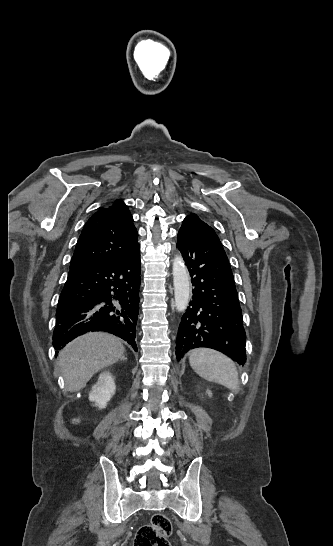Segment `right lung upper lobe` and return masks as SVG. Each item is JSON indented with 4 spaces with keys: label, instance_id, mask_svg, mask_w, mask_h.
I'll list each match as a JSON object with an SVG mask.
<instances>
[{
    "label": "right lung upper lobe",
    "instance_id": "obj_1",
    "mask_svg": "<svg viewBox=\"0 0 333 546\" xmlns=\"http://www.w3.org/2000/svg\"><path fill=\"white\" fill-rule=\"evenodd\" d=\"M138 232L123 201L98 210L87 221L77 241L70 269L117 260L134 250Z\"/></svg>",
    "mask_w": 333,
    "mask_h": 546
}]
</instances>
